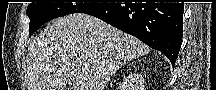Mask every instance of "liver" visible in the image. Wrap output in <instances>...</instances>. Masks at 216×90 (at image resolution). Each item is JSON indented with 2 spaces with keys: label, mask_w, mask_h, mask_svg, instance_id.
Segmentation results:
<instances>
[{
  "label": "liver",
  "mask_w": 216,
  "mask_h": 90,
  "mask_svg": "<svg viewBox=\"0 0 216 90\" xmlns=\"http://www.w3.org/2000/svg\"><path fill=\"white\" fill-rule=\"evenodd\" d=\"M148 52L143 42L94 16L69 14L31 42L27 90H105L116 70Z\"/></svg>",
  "instance_id": "liver-1"
}]
</instances>
